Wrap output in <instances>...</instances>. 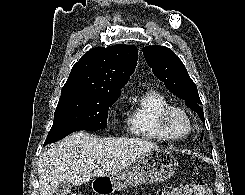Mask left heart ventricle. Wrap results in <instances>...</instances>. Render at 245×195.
<instances>
[{
  "label": "left heart ventricle",
  "instance_id": "obj_1",
  "mask_svg": "<svg viewBox=\"0 0 245 195\" xmlns=\"http://www.w3.org/2000/svg\"><path fill=\"white\" fill-rule=\"evenodd\" d=\"M171 132L176 136H183L189 129L186 118L179 113H172L168 120Z\"/></svg>",
  "mask_w": 245,
  "mask_h": 195
}]
</instances>
